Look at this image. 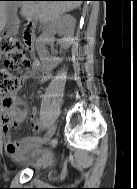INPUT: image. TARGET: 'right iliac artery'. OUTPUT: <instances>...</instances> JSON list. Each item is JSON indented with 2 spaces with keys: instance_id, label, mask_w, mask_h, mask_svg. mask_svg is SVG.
Returning a JSON list of instances; mask_svg holds the SVG:
<instances>
[{
  "instance_id": "82829eb1",
  "label": "right iliac artery",
  "mask_w": 137,
  "mask_h": 189,
  "mask_svg": "<svg viewBox=\"0 0 137 189\" xmlns=\"http://www.w3.org/2000/svg\"><path fill=\"white\" fill-rule=\"evenodd\" d=\"M49 125H44V127H42V130H48ZM43 137H45V134H41V136H38L35 138V141H40L41 139H43Z\"/></svg>"
}]
</instances>
